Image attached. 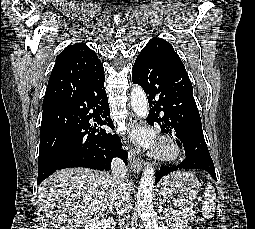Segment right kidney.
<instances>
[{"instance_id": "obj_1", "label": "right kidney", "mask_w": 255, "mask_h": 229, "mask_svg": "<svg viewBox=\"0 0 255 229\" xmlns=\"http://www.w3.org/2000/svg\"><path fill=\"white\" fill-rule=\"evenodd\" d=\"M116 223L113 218H102L101 220H97L91 222L90 224L85 226V229H114Z\"/></svg>"}]
</instances>
